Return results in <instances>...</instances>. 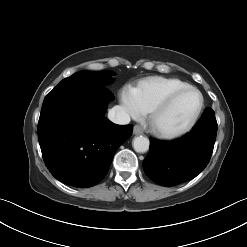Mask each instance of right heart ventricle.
I'll return each instance as SVG.
<instances>
[{
	"label": "right heart ventricle",
	"instance_id": "e07e8e85",
	"mask_svg": "<svg viewBox=\"0 0 247 247\" xmlns=\"http://www.w3.org/2000/svg\"><path fill=\"white\" fill-rule=\"evenodd\" d=\"M186 87L189 85L179 79L150 77L140 81L134 89L145 113L150 112L155 105L174 91Z\"/></svg>",
	"mask_w": 247,
	"mask_h": 247
}]
</instances>
